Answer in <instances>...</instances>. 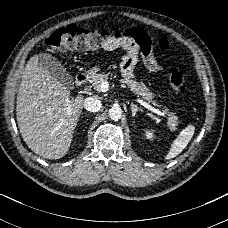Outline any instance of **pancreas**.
<instances>
[{
  "mask_svg": "<svg viewBox=\"0 0 228 228\" xmlns=\"http://www.w3.org/2000/svg\"><path fill=\"white\" fill-rule=\"evenodd\" d=\"M112 75V73H102V74H95L91 78L94 88L99 89L100 83L103 81L108 80V76ZM120 82L125 83L130 90L139 96H142L146 101H150V97L152 96V91L146 87V85L141 81H134L133 79L126 80L120 79ZM154 103V102H153ZM179 121L177 120L176 116H169L168 124L170 125L171 129L174 130L175 125L178 124Z\"/></svg>",
  "mask_w": 228,
  "mask_h": 228,
  "instance_id": "obj_1",
  "label": "pancreas"
}]
</instances>
